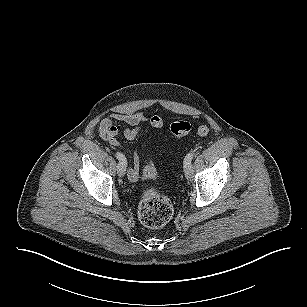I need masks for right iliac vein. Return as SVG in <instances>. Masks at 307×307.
<instances>
[{
    "instance_id": "63e3f726",
    "label": "right iliac vein",
    "mask_w": 307,
    "mask_h": 307,
    "mask_svg": "<svg viewBox=\"0 0 307 307\" xmlns=\"http://www.w3.org/2000/svg\"><path fill=\"white\" fill-rule=\"evenodd\" d=\"M125 171H126L125 166L122 165L121 163H118L117 164V174H118V176L123 177L125 175Z\"/></svg>"
}]
</instances>
